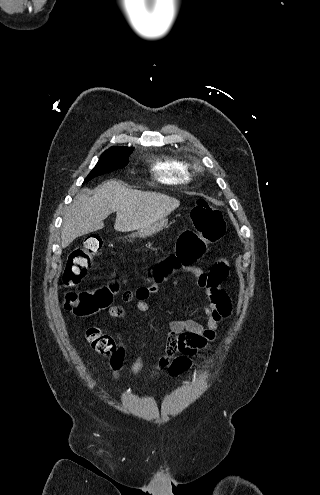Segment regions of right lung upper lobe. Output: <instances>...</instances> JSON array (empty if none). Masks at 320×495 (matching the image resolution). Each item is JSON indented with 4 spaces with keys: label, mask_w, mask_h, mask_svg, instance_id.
I'll return each instance as SVG.
<instances>
[{
    "label": "right lung upper lobe",
    "mask_w": 320,
    "mask_h": 495,
    "mask_svg": "<svg viewBox=\"0 0 320 495\" xmlns=\"http://www.w3.org/2000/svg\"><path fill=\"white\" fill-rule=\"evenodd\" d=\"M130 149H133V148H129V147H115V146H112V147H110L108 150H130Z\"/></svg>",
    "instance_id": "1"
}]
</instances>
